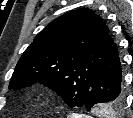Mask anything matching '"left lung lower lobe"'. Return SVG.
Listing matches in <instances>:
<instances>
[{"label": "left lung lower lobe", "instance_id": "obj_1", "mask_svg": "<svg viewBox=\"0 0 133 118\" xmlns=\"http://www.w3.org/2000/svg\"><path fill=\"white\" fill-rule=\"evenodd\" d=\"M124 98L121 62L114 44L91 84L84 106L90 110L95 105L103 107L115 100L124 101Z\"/></svg>", "mask_w": 133, "mask_h": 118}]
</instances>
